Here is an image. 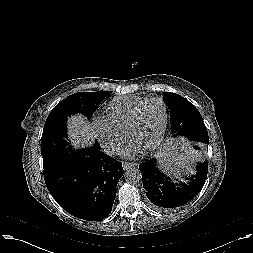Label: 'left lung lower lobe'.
I'll return each instance as SVG.
<instances>
[{
  "label": "left lung lower lobe",
  "mask_w": 253,
  "mask_h": 253,
  "mask_svg": "<svg viewBox=\"0 0 253 253\" xmlns=\"http://www.w3.org/2000/svg\"><path fill=\"white\" fill-rule=\"evenodd\" d=\"M194 151L201 162L196 167V174L188 177V183L177 184L166 176L159 168L157 160L152 158L139 165L143 187L152 205L160 210H172L191 201L199 193L208 173L207 160L203 158L202 147L193 142Z\"/></svg>",
  "instance_id": "0a47b994"
}]
</instances>
